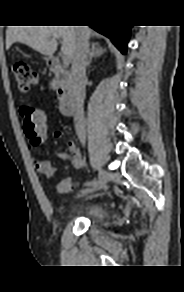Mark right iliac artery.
<instances>
[{
  "instance_id": "obj_1",
  "label": "right iliac artery",
  "mask_w": 184,
  "mask_h": 292,
  "mask_svg": "<svg viewBox=\"0 0 184 292\" xmlns=\"http://www.w3.org/2000/svg\"><path fill=\"white\" fill-rule=\"evenodd\" d=\"M97 182H99V179H94L93 181L90 179L87 185H91V187H95Z\"/></svg>"
}]
</instances>
